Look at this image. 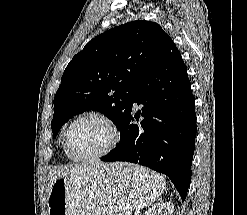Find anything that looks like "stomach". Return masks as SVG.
<instances>
[{"mask_svg":"<svg viewBox=\"0 0 247 215\" xmlns=\"http://www.w3.org/2000/svg\"><path fill=\"white\" fill-rule=\"evenodd\" d=\"M162 176L129 163L107 164L74 181L62 177L48 196V215H118L147 207L163 192Z\"/></svg>","mask_w":247,"mask_h":215,"instance_id":"stomach-1","label":"stomach"}]
</instances>
